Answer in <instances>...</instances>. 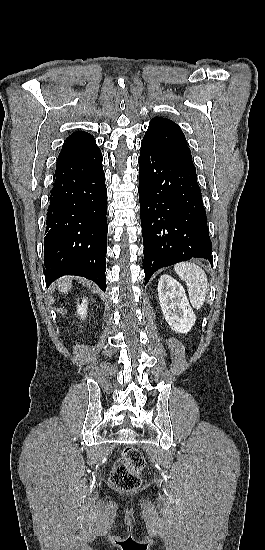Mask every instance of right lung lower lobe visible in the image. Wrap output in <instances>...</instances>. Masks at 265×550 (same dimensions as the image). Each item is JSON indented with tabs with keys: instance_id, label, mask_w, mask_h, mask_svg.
Segmentation results:
<instances>
[{
	"instance_id": "obj_1",
	"label": "right lung lower lobe",
	"mask_w": 265,
	"mask_h": 550,
	"mask_svg": "<svg viewBox=\"0 0 265 550\" xmlns=\"http://www.w3.org/2000/svg\"><path fill=\"white\" fill-rule=\"evenodd\" d=\"M44 237L49 286L77 275L106 290L107 189L100 149L57 162Z\"/></svg>"
}]
</instances>
